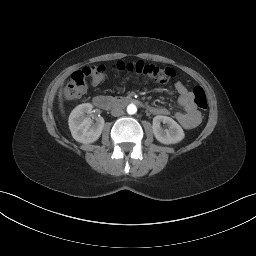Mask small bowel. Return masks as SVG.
<instances>
[{"label": "small bowel", "mask_w": 256, "mask_h": 256, "mask_svg": "<svg viewBox=\"0 0 256 256\" xmlns=\"http://www.w3.org/2000/svg\"><path fill=\"white\" fill-rule=\"evenodd\" d=\"M175 90L178 94V104L183 109V112L175 114V118L184 128L192 129L201 120V114L194 104L193 94L182 82L175 83ZM150 112L156 115L169 114L168 109L162 106H151Z\"/></svg>", "instance_id": "1"}]
</instances>
